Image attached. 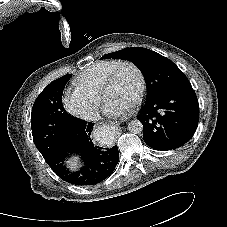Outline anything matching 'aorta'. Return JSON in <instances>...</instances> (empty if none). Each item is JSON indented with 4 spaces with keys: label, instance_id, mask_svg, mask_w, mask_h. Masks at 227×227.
I'll return each instance as SVG.
<instances>
[{
    "label": "aorta",
    "instance_id": "aorta-1",
    "mask_svg": "<svg viewBox=\"0 0 227 227\" xmlns=\"http://www.w3.org/2000/svg\"><path fill=\"white\" fill-rule=\"evenodd\" d=\"M128 130L133 134H139L143 131V125L139 120L135 119L128 123Z\"/></svg>",
    "mask_w": 227,
    "mask_h": 227
}]
</instances>
